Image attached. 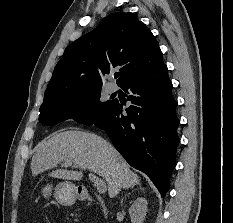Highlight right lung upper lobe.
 <instances>
[{"label":"right lung upper lobe","mask_w":233,"mask_h":223,"mask_svg":"<svg viewBox=\"0 0 233 223\" xmlns=\"http://www.w3.org/2000/svg\"><path fill=\"white\" fill-rule=\"evenodd\" d=\"M163 63L154 35L133 14L116 12L70 44L57 63L42 105L101 88L104 75L120 68L117 84Z\"/></svg>","instance_id":"obj_1"}]
</instances>
